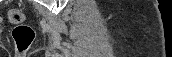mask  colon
<instances>
[{
  "label": "colon",
  "instance_id": "5ec220e1",
  "mask_svg": "<svg viewBox=\"0 0 172 57\" xmlns=\"http://www.w3.org/2000/svg\"><path fill=\"white\" fill-rule=\"evenodd\" d=\"M10 22L16 24L12 31V37L16 47V57H26V52L35 39L34 29L26 24H22L21 21L24 18L22 12L11 9L7 13Z\"/></svg>",
  "mask_w": 172,
  "mask_h": 57
}]
</instances>
